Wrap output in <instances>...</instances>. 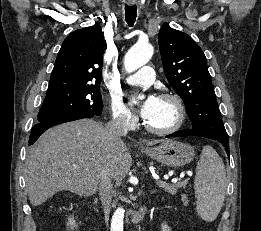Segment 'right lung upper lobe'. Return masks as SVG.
I'll return each mask as SVG.
<instances>
[{"label": "right lung upper lobe", "instance_id": "1", "mask_svg": "<svg viewBox=\"0 0 261 231\" xmlns=\"http://www.w3.org/2000/svg\"><path fill=\"white\" fill-rule=\"evenodd\" d=\"M102 61L103 34L100 25L70 33L57 55L49 88L99 86Z\"/></svg>", "mask_w": 261, "mask_h": 231}]
</instances>
